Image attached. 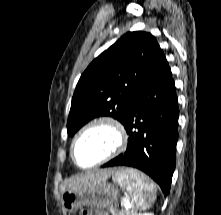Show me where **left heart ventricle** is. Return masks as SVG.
<instances>
[{
  "instance_id": "b2bd125f",
  "label": "left heart ventricle",
  "mask_w": 221,
  "mask_h": 215,
  "mask_svg": "<svg viewBox=\"0 0 221 215\" xmlns=\"http://www.w3.org/2000/svg\"><path fill=\"white\" fill-rule=\"evenodd\" d=\"M114 145L113 134L105 128H93L77 141L74 149L77 162L88 166L105 156Z\"/></svg>"
}]
</instances>
